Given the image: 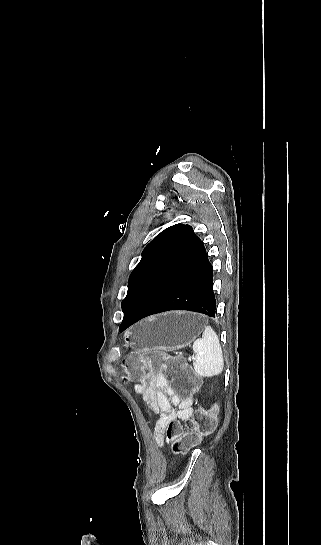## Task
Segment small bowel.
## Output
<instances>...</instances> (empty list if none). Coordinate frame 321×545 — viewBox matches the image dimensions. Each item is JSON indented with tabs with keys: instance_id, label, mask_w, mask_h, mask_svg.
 I'll return each instance as SVG.
<instances>
[{
	"instance_id": "c3829d8e",
	"label": "small bowel",
	"mask_w": 321,
	"mask_h": 545,
	"mask_svg": "<svg viewBox=\"0 0 321 545\" xmlns=\"http://www.w3.org/2000/svg\"><path fill=\"white\" fill-rule=\"evenodd\" d=\"M135 390L159 415L154 428V437L159 445L163 444L164 431L170 421H187L193 413L192 399L178 396L164 377L145 376L135 385Z\"/></svg>"
}]
</instances>
